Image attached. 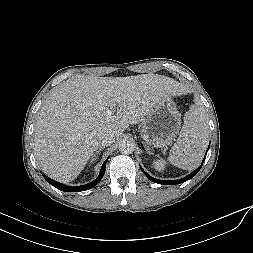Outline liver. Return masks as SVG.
Returning a JSON list of instances; mask_svg holds the SVG:
<instances>
[{"instance_id":"1","label":"liver","mask_w":253,"mask_h":253,"mask_svg":"<svg viewBox=\"0 0 253 253\" xmlns=\"http://www.w3.org/2000/svg\"><path fill=\"white\" fill-rule=\"evenodd\" d=\"M183 91L180 83L158 74L68 79L50 94L37 117L34 152L39 167L55 180H74L98 148L101 131L119 137L162 99ZM116 107V115L108 116Z\"/></svg>"}]
</instances>
